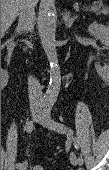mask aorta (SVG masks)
Here are the masks:
<instances>
[{"label":"aorta","mask_w":109,"mask_h":170,"mask_svg":"<svg viewBox=\"0 0 109 170\" xmlns=\"http://www.w3.org/2000/svg\"><path fill=\"white\" fill-rule=\"evenodd\" d=\"M52 1L53 0H47V4L42 11L39 25L43 49L50 63V82L48 90L44 95V102L48 104L55 103L61 86V73L58 63L55 40L56 15L55 10L51 5Z\"/></svg>","instance_id":"762f6f07"}]
</instances>
